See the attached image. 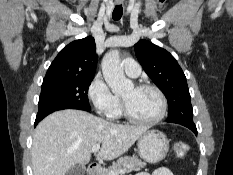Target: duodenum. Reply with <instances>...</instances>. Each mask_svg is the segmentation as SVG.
<instances>
[{
	"label": "duodenum",
	"instance_id": "obj_1",
	"mask_svg": "<svg viewBox=\"0 0 233 175\" xmlns=\"http://www.w3.org/2000/svg\"><path fill=\"white\" fill-rule=\"evenodd\" d=\"M88 175H98L99 170L96 164H91L88 166Z\"/></svg>",
	"mask_w": 233,
	"mask_h": 175
}]
</instances>
